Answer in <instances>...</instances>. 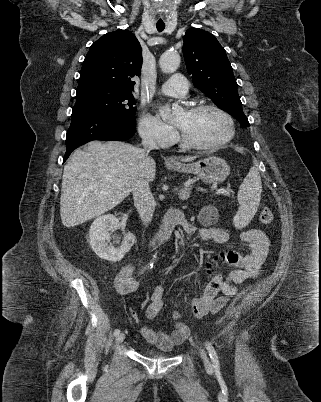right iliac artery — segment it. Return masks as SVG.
<instances>
[{
  "mask_svg": "<svg viewBox=\"0 0 321 402\" xmlns=\"http://www.w3.org/2000/svg\"><path fill=\"white\" fill-rule=\"evenodd\" d=\"M119 333H120V330H119V329H115L114 335L117 336Z\"/></svg>",
  "mask_w": 321,
  "mask_h": 402,
  "instance_id": "obj_1",
  "label": "right iliac artery"
}]
</instances>
